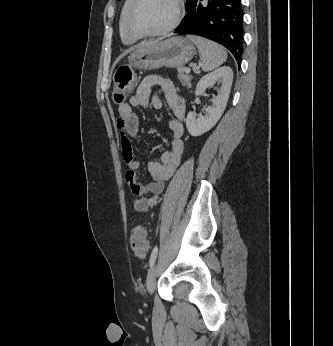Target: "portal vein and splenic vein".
I'll return each mask as SVG.
<instances>
[{
    "label": "portal vein and splenic vein",
    "instance_id": "portal-vein-and-splenic-vein-1",
    "mask_svg": "<svg viewBox=\"0 0 333 346\" xmlns=\"http://www.w3.org/2000/svg\"><path fill=\"white\" fill-rule=\"evenodd\" d=\"M184 72H185L186 74H189V73H190V69H189V68H185V69H184Z\"/></svg>",
    "mask_w": 333,
    "mask_h": 346
}]
</instances>
